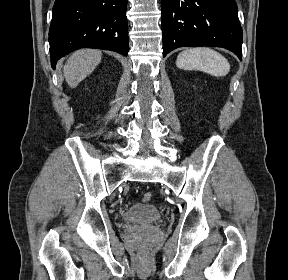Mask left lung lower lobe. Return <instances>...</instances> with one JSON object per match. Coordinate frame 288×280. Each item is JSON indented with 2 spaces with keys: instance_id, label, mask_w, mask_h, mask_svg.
<instances>
[{
  "instance_id": "left-lung-lower-lobe-1",
  "label": "left lung lower lobe",
  "mask_w": 288,
  "mask_h": 280,
  "mask_svg": "<svg viewBox=\"0 0 288 280\" xmlns=\"http://www.w3.org/2000/svg\"><path fill=\"white\" fill-rule=\"evenodd\" d=\"M163 56L178 47L217 46L242 60L235 0H162Z\"/></svg>"
}]
</instances>
